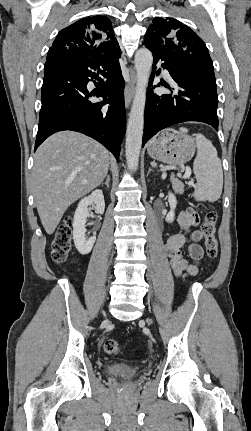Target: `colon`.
<instances>
[{"instance_id":"colon-1","label":"colon","mask_w":251,"mask_h":431,"mask_svg":"<svg viewBox=\"0 0 251 431\" xmlns=\"http://www.w3.org/2000/svg\"><path fill=\"white\" fill-rule=\"evenodd\" d=\"M218 221V214L213 207H209L203 223L201 225V232L205 238V251L210 260H214L219 253V243L216 237V226ZM72 250V219L70 216L64 218L62 223L58 226L54 239L51 244V257L57 263H63ZM104 351L109 355H118L121 352L120 344L113 340L108 339L104 343Z\"/></svg>"}]
</instances>
